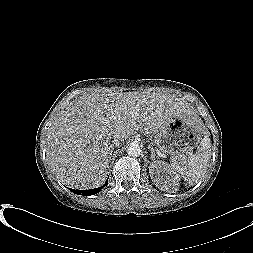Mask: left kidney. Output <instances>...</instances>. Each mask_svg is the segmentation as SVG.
<instances>
[{"instance_id": "left-kidney-1", "label": "left kidney", "mask_w": 253, "mask_h": 253, "mask_svg": "<svg viewBox=\"0 0 253 253\" xmlns=\"http://www.w3.org/2000/svg\"><path fill=\"white\" fill-rule=\"evenodd\" d=\"M151 175L153 182L158 188L166 192L177 191L179 187L180 177L170 166L162 161L151 164Z\"/></svg>"}]
</instances>
